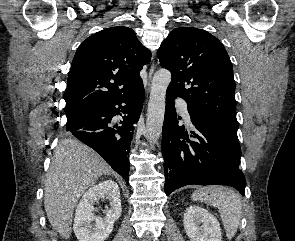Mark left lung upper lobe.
<instances>
[{
  "instance_id": "5c2ea615",
  "label": "left lung upper lobe",
  "mask_w": 295,
  "mask_h": 241,
  "mask_svg": "<svg viewBox=\"0 0 295 241\" xmlns=\"http://www.w3.org/2000/svg\"><path fill=\"white\" fill-rule=\"evenodd\" d=\"M157 56L172 74L167 91L183 98L189 113L238 129L233 67L216 37L202 29L175 28Z\"/></svg>"
}]
</instances>
